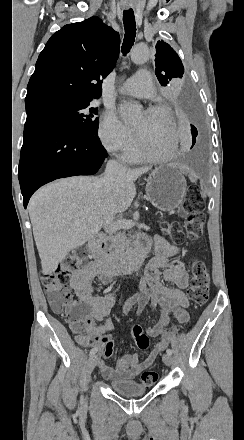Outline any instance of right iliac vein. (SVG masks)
I'll return each instance as SVG.
<instances>
[{
    "label": "right iliac vein",
    "mask_w": 244,
    "mask_h": 440,
    "mask_svg": "<svg viewBox=\"0 0 244 440\" xmlns=\"http://www.w3.org/2000/svg\"><path fill=\"white\" fill-rule=\"evenodd\" d=\"M98 363V356L97 355H92L89 359V364H88V368L89 371L92 372L94 370V368L96 367Z\"/></svg>",
    "instance_id": "right-iliac-vein-1"
}]
</instances>
